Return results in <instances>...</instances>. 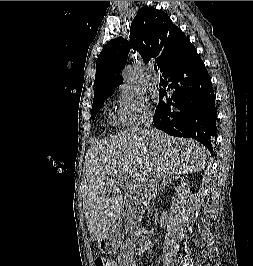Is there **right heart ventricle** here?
<instances>
[{
	"instance_id": "obj_1",
	"label": "right heart ventricle",
	"mask_w": 253,
	"mask_h": 266,
	"mask_svg": "<svg viewBox=\"0 0 253 266\" xmlns=\"http://www.w3.org/2000/svg\"><path fill=\"white\" fill-rule=\"evenodd\" d=\"M117 122L118 123H122L120 117L117 119Z\"/></svg>"
}]
</instances>
